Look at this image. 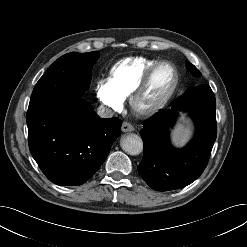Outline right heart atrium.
I'll return each mask as SVG.
<instances>
[{
  "mask_svg": "<svg viewBox=\"0 0 247 247\" xmlns=\"http://www.w3.org/2000/svg\"><path fill=\"white\" fill-rule=\"evenodd\" d=\"M97 97L108 111H119L124 105V100L112 87L109 79H101L96 88Z\"/></svg>",
  "mask_w": 247,
  "mask_h": 247,
  "instance_id": "right-heart-atrium-1",
  "label": "right heart atrium"
}]
</instances>
